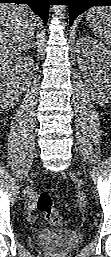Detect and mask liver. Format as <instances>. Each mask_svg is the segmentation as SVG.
<instances>
[{
    "instance_id": "6515ba94",
    "label": "liver",
    "mask_w": 111,
    "mask_h": 257,
    "mask_svg": "<svg viewBox=\"0 0 111 257\" xmlns=\"http://www.w3.org/2000/svg\"><path fill=\"white\" fill-rule=\"evenodd\" d=\"M38 17L26 6L0 5V64L7 66L26 49L35 33Z\"/></svg>"
}]
</instances>
